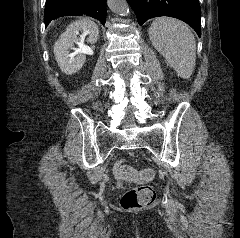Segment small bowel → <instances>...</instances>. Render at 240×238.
I'll use <instances>...</instances> for the list:
<instances>
[{
    "label": "small bowel",
    "instance_id": "1",
    "mask_svg": "<svg viewBox=\"0 0 240 238\" xmlns=\"http://www.w3.org/2000/svg\"><path fill=\"white\" fill-rule=\"evenodd\" d=\"M121 163H122V160H118L117 162H115V164L113 165V173H114V176L116 179H118V172H119V169L121 167ZM117 186L118 187H125L126 186V183L125 182H118L117 183Z\"/></svg>",
    "mask_w": 240,
    "mask_h": 238
}]
</instances>
